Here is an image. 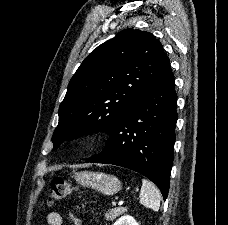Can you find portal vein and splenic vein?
Returning a JSON list of instances; mask_svg holds the SVG:
<instances>
[{
	"mask_svg": "<svg viewBox=\"0 0 228 225\" xmlns=\"http://www.w3.org/2000/svg\"><path fill=\"white\" fill-rule=\"evenodd\" d=\"M131 200H135V195H129V197L126 198V200H119V205L121 207H126L127 202H130ZM117 205V200H112L111 206L115 207Z\"/></svg>",
	"mask_w": 228,
	"mask_h": 225,
	"instance_id": "1",
	"label": "portal vein and splenic vein"
}]
</instances>
